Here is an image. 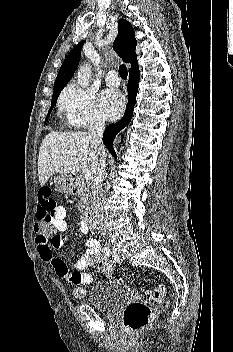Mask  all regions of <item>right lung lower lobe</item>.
<instances>
[{"instance_id": "1", "label": "right lung lower lobe", "mask_w": 233, "mask_h": 352, "mask_svg": "<svg viewBox=\"0 0 233 352\" xmlns=\"http://www.w3.org/2000/svg\"><path fill=\"white\" fill-rule=\"evenodd\" d=\"M140 78V71L129 74L128 81V103L126 106V111L124 117L115 124L108 126L103 134V143L112 154L114 158H116V153L113 148V140L115 139L116 134L126 127L133 116V109L136 102V94L138 91V82Z\"/></svg>"}]
</instances>
